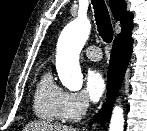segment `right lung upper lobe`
I'll list each match as a JSON object with an SVG mask.
<instances>
[{"mask_svg": "<svg viewBox=\"0 0 147 131\" xmlns=\"http://www.w3.org/2000/svg\"><path fill=\"white\" fill-rule=\"evenodd\" d=\"M113 16L121 21V33L118 36L131 32L133 28V16L130 12H126L127 4L125 0H110ZM117 36V37H118Z\"/></svg>", "mask_w": 147, "mask_h": 131, "instance_id": "1", "label": "right lung upper lobe"}]
</instances>
